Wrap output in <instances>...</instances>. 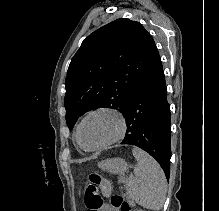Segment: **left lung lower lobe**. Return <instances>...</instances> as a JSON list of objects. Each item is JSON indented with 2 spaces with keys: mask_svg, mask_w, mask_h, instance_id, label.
Instances as JSON below:
<instances>
[{
  "mask_svg": "<svg viewBox=\"0 0 219 211\" xmlns=\"http://www.w3.org/2000/svg\"><path fill=\"white\" fill-rule=\"evenodd\" d=\"M126 135L121 144L137 146L149 153L170 176V105L160 63L131 95L124 112Z\"/></svg>",
  "mask_w": 219,
  "mask_h": 211,
  "instance_id": "left-lung-lower-lobe-1",
  "label": "left lung lower lobe"
}]
</instances>
